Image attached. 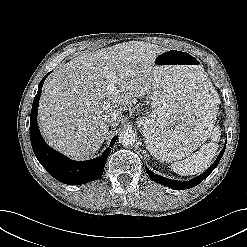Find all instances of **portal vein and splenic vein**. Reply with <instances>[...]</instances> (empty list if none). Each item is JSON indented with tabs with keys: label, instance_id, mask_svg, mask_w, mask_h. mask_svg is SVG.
<instances>
[{
	"label": "portal vein and splenic vein",
	"instance_id": "18ae733b",
	"mask_svg": "<svg viewBox=\"0 0 247 247\" xmlns=\"http://www.w3.org/2000/svg\"><path fill=\"white\" fill-rule=\"evenodd\" d=\"M115 83H116V77L115 76H111V81H110L109 85L106 88L107 92L112 93V92H114L116 90Z\"/></svg>",
	"mask_w": 247,
	"mask_h": 247
}]
</instances>
